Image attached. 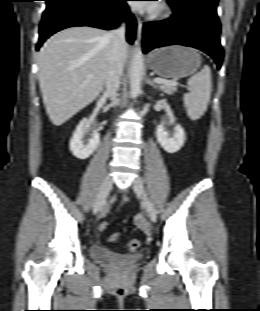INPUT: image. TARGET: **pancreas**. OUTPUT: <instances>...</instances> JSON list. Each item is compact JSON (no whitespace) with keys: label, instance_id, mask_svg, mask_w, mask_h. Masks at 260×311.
I'll return each mask as SVG.
<instances>
[{"label":"pancreas","instance_id":"1","mask_svg":"<svg viewBox=\"0 0 260 311\" xmlns=\"http://www.w3.org/2000/svg\"><path fill=\"white\" fill-rule=\"evenodd\" d=\"M159 88L168 95H172L177 91L176 85L159 84Z\"/></svg>","mask_w":260,"mask_h":311}]
</instances>
